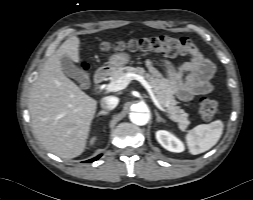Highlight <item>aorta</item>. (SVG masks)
I'll return each mask as SVG.
<instances>
[{"label": "aorta", "instance_id": "1", "mask_svg": "<svg viewBox=\"0 0 253 200\" xmlns=\"http://www.w3.org/2000/svg\"><path fill=\"white\" fill-rule=\"evenodd\" d=\"M145 105L144 104H136L135 105V111L136 112H131L129 115V118L131 122H133L136 125L143 126L146 125L149 121V116L145 112H141V109H143Z\"/></svg>", "mask_w": 253, "mask_h": 200}]
</instances>
